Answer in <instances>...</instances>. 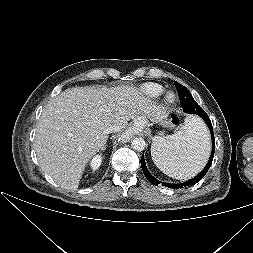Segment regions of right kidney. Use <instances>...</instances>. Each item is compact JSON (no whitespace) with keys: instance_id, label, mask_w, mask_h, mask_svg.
<instances>
[{"instance_id":"obj_1","label":"right kidney","mask_w":253,"mask_h":253,"mask_svg":"<svg viewBox=\"0 0 253 253\" xmlns=\"http://www.w3.org/2000/svg\"><path fill=\"white\" fill-rule=\"evenodd\" d=\"M101 162H102V157L101 155H96L92 160H91V163H90V166L92 168V170H97L100 165H101Z\"/></svg>"}]
</instances>
